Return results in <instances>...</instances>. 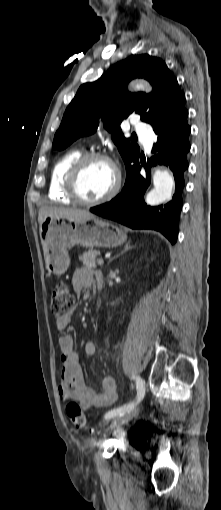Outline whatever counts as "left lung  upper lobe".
I'll return each instance as SVG.
<instances>
[{
    "label": "left lung upper lobe",
    "mask_w": 221,
    "mask_h": 510,
    "mask_svg": "<svg viewBox=\"0 0 221 510\" xmlns=\"http://www.w3.org/2000/svg\"><path fill=\"white\" fill-rule=\"evenodd\" d=\"M144 77L153 86L150 94L129 93L128 82ZM185 96L177 79L162 59L148 54L130 56L112 66L97 81L80 86L67 107L57 130L53 149H64L77 138L92 134L100 121L112 133V139L125 162L126 171L138 160L140 149L131 138H125L119 124L132 113L153 129L188 114Z\"/></svg>",
    "instance_id": "left-lung-upper-lobe-1"
}]
</instances>
